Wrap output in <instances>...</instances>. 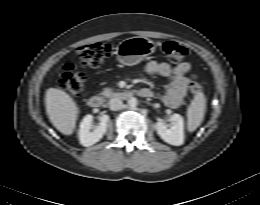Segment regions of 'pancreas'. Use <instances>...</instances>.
Listing matches in <instances>:
<instances>
[{"mask_svg": "<svg viewBox=\"0 0 260 205\" xmlns=\"http://www.w3.org/2000/svg\"><path fill=\"white\" fill-rule=\"evenodd\" d=\"M114 93H113V90L111 88H104L101 92V95L103 96H106V97H110L112 96Z\"/></svg>", "mask_w": 260, "mask_h": 205, "instance_id": "pancreas-1", "label": "pancreas"}]
</instances>
